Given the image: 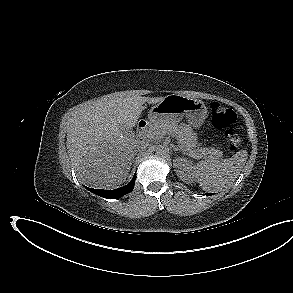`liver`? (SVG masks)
<instances>
[{
	"label": "liver",
	"mask_w": 293,
	"mask_h": 293,
	"mask_svg": "<svg viewBox=\"0 0 293 293\" xmlns=\"http://www.w3.org/2000/svg\"><path fill=\"white\" fill-rule=\"evenodd\" d=\"M163 99L113 93L79 106L68 119L66 141L78 176L99 187L122 184L137 141L126 132L137 124L145 102L156 104Z\"/></svg>",
	"instance_id": "6515ba94"
}]
</instances>
